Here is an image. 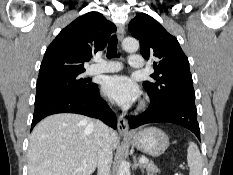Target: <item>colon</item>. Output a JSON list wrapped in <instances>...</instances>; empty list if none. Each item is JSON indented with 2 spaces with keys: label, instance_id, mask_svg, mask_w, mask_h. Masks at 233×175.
Returning a JSON list of instances; mask_svg holds the SVG:
<instances>
[{
  "label": "colon",
  "instance_id": "colon-1",
  "mask_svg": "<svg viewBox=\"0 0 233 175\" xmlns=\"http://www.w3.org/2000/svg\"><path fill=\"white\" fill-rule=\"evenodd\" d=\"M175 175H184V174H182V173L178 172V173H176Z\"/></svg>",
  "mask_w": 233,
  "mask_h": 175
}]
</instances>
